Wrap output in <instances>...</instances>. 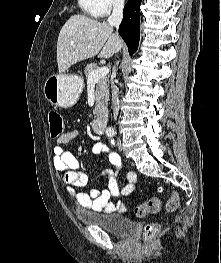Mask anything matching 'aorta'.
Listing matches in <instances>:
<instances>
[{
    "label": "aorta",
    "mask_w": 221,
    "mask_h": 263,
    "mask_svg": "<svg viewBox=\"0 0 221 263\" xmlns=\"http://www.w3.org/2000/svg\"><path fill=\"white\" fill-rule=\"evenodd\" d=\"M114 132V129H113V127H111V126H109L108 128H107V130H106V133L107 134H111V133H113Z\"/></svg>",
    "instance_id": "1"
}]
</instances>
